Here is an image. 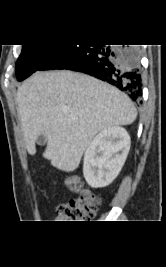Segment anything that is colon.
Listing matches in <instances>:
<instances>
[{"label": "colon", "mask_w": 166, "mask_h": 267, "mask_svg": "<svg viewBox=\"0 0 166 267\" xmlns=\"http://www.w3.org/2000/svg\"><path fill=\"white\" fill-rule=\"evenodd\" d=\"M71 185L80 193L79 197L58 206V220L60 223L81 222L96 215L101 198L91 190L85 188L77 179H72Z\"/></svg>", "instance_id": "obj_1"}]
</instances>
